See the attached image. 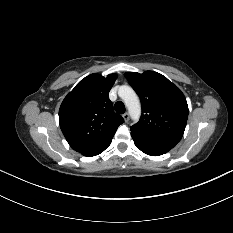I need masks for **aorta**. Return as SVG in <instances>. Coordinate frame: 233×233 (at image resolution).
I'll use <instances>...</instances> for the list:
<instances>
[{
    "label": "aorta",
    "mask_w": 233,
    "mask_h": 233,
    "mask_svg": "<svg viewBox=\"0 0 233 233\" xmlns=\"http://www.w3.org/2000/svg\"><path fill=\"white\" fill-rule=\"evenodd\" d=\"M120 90H123L124 92L123 95H121V97L129 110L131 118L137 121L141 115V105L137 94L129 86H123Z\"/></svg>",
    "instance_id": "1"
}]
</instances>
